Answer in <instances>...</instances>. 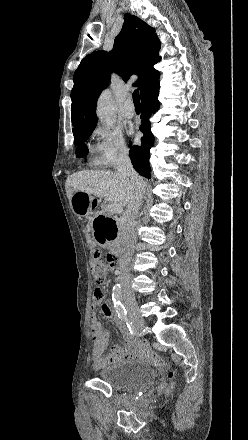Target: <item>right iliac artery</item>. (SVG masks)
I'll return each mask as SVG.
<instances>
[{"mask_svg":"<svg viewBox=\"0 0 248 440\" xmlns=\"http://www.w3.org/2000/svg\"><path fill=\"white\" fill-rule=\"evenodd\" d=\"M120 298H121V288L120 287H113L112 300H113L116 312L118 314V317L124 321H128L127 311H126L124 305L121 303Z\"/></svg>","mask_w":248,"mask_h":440,"instance_id":"82829eb1","label":"right iliac artery"}]
</instances>
